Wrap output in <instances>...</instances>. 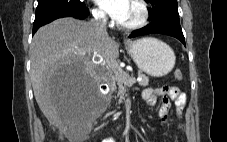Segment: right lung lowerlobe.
Wrapping results in <instances>:
<instances>
[{
	"label": "right lung lower lobe",
	"mask_w": 227,
	"mask_h": 142,
	"mask_svg": "<svg viewBox=\"0 0 227 142\" xmlns=\"http://www.w3.org/2000/svg\"><path fill=\"white\" fill-rule=\"evenodd\" d=\"M89 15V10L86 7L82 8H64L56 9L43 13L36 14L35 20L33 23V34L41 26L62 17H74L77 19H84Z\"/></svg>",
	"instance_id": "obj_1"
}]
</instances>
